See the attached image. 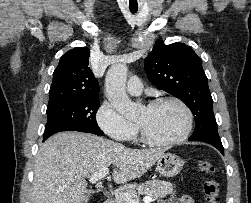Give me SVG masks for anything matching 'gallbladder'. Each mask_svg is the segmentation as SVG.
I'll return each mask as SVG.
<instances>
[{
	"mask_svg": "<svg viewBox=\"0 0 251 203\" xmlns=\"http://www.w3.org/2000/svg\"><path fill=\"white\" fill-rule=\"evenodd\" d=\"M90 199V191L88 190L85 194V196L83 197L82 201L87 203V201Z\"/></svg>",
	"mask_w": 251,
	"mask_h": 203,
	"instance_id": "1",
	"label": "gallbladder"
}]
</instances>
